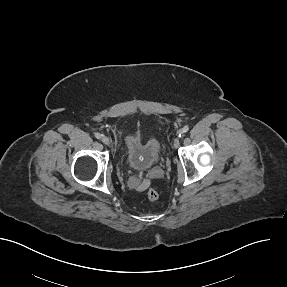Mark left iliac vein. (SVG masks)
I'll list each match as a JSON object with an SVG mask.
<instances>
[{"label": "left iliac vein", "mask_w": 287, "mask_h": 287, "mask_svg": "<svg viewBox=\"0 0 287 287\" xmlns=\"http://www.w3.org/2000/svg\"><path fill=\"white\" fill-rule=\"evenodd\" d=\"M179 132L182 133V130H179ZM174 145H175V147H178L179 146V140L176 139L174 141Z\"/></svg>", "instance_id": "left-iliac-vein-1"}]
</instances>
